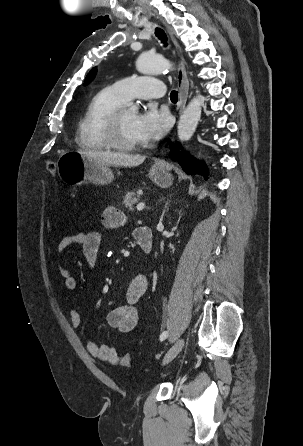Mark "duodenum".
<instances>
[{"mask_svg":"<svg viewBox=\"0 0 303 446\" xmlns=\"http://www.w3.org/2000/svg\"><path fill=\"white\" fill-rule=\"evenodd\" d=\"M135 239L146 254L150 253L153 246V235L149 227H141L135 233Z\"/></svg>","mask_w":303,"mask_h":446,"instance_id":"410a0bca","label":"duodenum"}]
</instances>
